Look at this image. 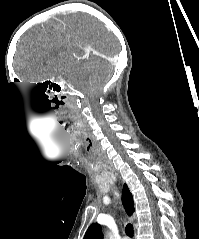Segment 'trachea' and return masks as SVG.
<instances>
[{"label": "trachea", "mask_w": 199, "mask_h": 239, "mask_svg": "<svg viewBox=\"0 0 199 239\" xmlns=\"http://www.w3.org/2000/svg\"><path fill=\"white\" fill-rule=\"evenodd\" d=\"M125 231H126V234L129 237H133V226H132V224H127L126 228H125Z\"/></svg>", "instance_id": "obj_1"}]
</instances>
